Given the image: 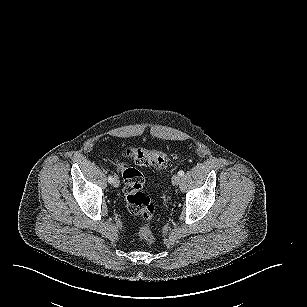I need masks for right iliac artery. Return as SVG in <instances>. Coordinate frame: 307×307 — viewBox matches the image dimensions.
Here are the masks:
<instances>
[{
    "mask_svg": "<svg viewBox=\"0 0 307 307\" xmlns=\"http://www.w3.org/2000/svg\"><path fill=\"white\" fill-rule=\"evenodd\" d=\"M108 182L113 183V177L112 176H108Z\"/></svg>",
    "mask_w": 307,
    "mask_h": 307,
    "instance_id": "1",
    "label": "right iliac artery"
}]
</instances>
